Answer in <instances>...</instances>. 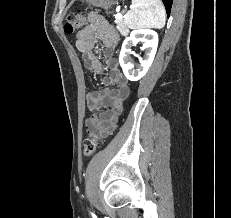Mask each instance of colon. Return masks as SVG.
<instances>
[{"instance_id": "5ec220e1", "label": "colon", "mask_w": 231, "mask_h": 218, "mask_svg": "<svg viewBox=\"0 0 231 218\" xmlns=\"http://www.w3.org/2000/svg\"><path fill=\"white\" fill-rule=\"evenodd\" d=\"M85 3H90L94 5L107 6V0H81ZM85 19L79 12H71L67 17V22L64 25V30L66 33H73L77 29L81 28L84 25ZM98 146V139L93 136L86 139L84 143L83 154L86 157H90L94 154Z\"/></svg>"}]
</instances>
